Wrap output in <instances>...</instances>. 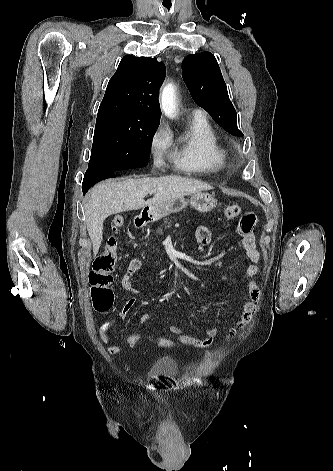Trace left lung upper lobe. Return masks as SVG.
Returning <instances> with one entry per match:
<instances>
[{
	"instance_id": "left-lung-upper-lobe-1",
	"label": "left lung upper lobe",
	"mask_w": 333,
	"mask_h": 471,
	"mask_svg": "<svg viewBox=\"0 0 333 471\" xmlns=\"http://www.w3.org/2000/svg\"><path fill=\"white\" fill-rule=\"evenodd\" d=\"M182 77L195 103L205 109L221 127L243 136L237 114L229 99L219 65L210 52L188 55L182 63Z\"/></svg>"
}]
</instances>
